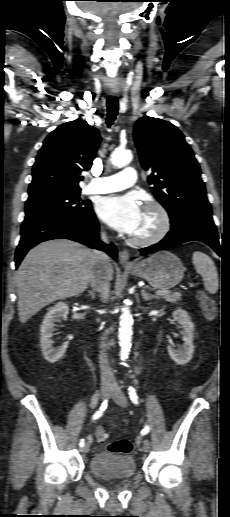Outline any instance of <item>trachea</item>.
Here are the masks:
<instances>
[{"instance_id":"1","label":"trachea","mask_w":230,"mask_h":517,"mask_svg":"<svg viewBox=\"0 0 230 517\" xmlns=\"http://www.w3.org/2000/svg\"><path fill=\"white\" fill-rule=\"evenodd\" d=\"M107 106V117H106V123L110 127L118 114L119 109V103L117 98H108L106 102Z\"/></svg>"}]
</instances>
